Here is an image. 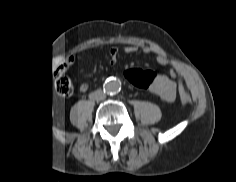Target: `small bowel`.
I'll use <instances>...</instances> for the list:
<instances>
[{
  "label": "small bowel",
  "instance_id": "1",
  "mask_svg": "<svg viewBox=\"0 0 236 182\" xmlns=\"http://www.w3.org/2000/svg\"><path fill=\"white\" fill-rule=\"evenodd\" d=\"M139 49L145 53H154L156 55V61L160 65H166L169 61L167 54L164 51H158L151 45H144L142 47H139L138 45H127L124 48V51L130 54L137 52ZM118 53L119 49L117 47H112L110 49L109 56L112 63L116 62ZM170 75L172 78H175L178 76V71L172 69ZM148 89L151 93L159 96L163 101L173 102L176 98L179 85H177L175 81L164 74L154 73V79Z\"/></svg>",
  "mask_w": 236,
  "mask_h": 182
}]
</instances>
